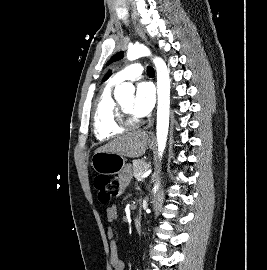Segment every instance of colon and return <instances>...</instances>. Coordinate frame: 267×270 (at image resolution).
<instances>
[{
    "label": "colon",
    "instance_id": "5ec220e1",
    "mask_svg": "<svg viewBox=\"0 0 267 270\" xmlns=\"http://www.w3.org/2000/svg\"><path fill=\"white\" fill-rule=\"evenodd\" d=\"M93 183L98 193V199L103 204L109 203L121 191L120 182L104 174L96 175Z\"/></svg>",
    "mask_w": 267,
    "mask_h": 270
}]
</instances>
